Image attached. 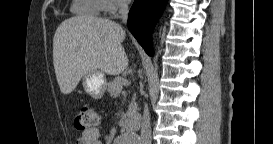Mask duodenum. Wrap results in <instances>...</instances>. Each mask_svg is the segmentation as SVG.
Instances as JSON below:
<instances>
[{
    "label": "duodenum",
    "mask_w": 273,
    "mask_h": 144,
    "mask_svg": "<svg viewBox=\"0 0 273 144\" xmlns=\"http://www.w3.org/2000/svg\"><path fill=\"white\" fill-rule=\"evenodd\" d=\"M137 118L136 117H128L124 122V128L126 131H133L137 126Z\"/></svg>",
    "instance_id": "duodenum-1"
}]
</instances>
